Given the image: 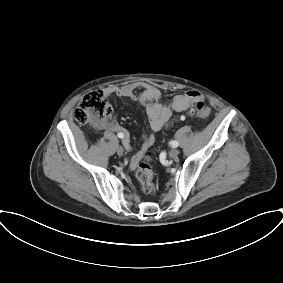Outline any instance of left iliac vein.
<instances>
[{
	"label": "left iliac vein",
	"instance_id": "1",
	"mask_svg": "<svg viewBox=\"0 0 283 283\" xmlns=\"http://www.w3.org/2000/svg\"><path fill=\"white\" fill-rule=\"evenodd\" d=\"M179 155V150L177 148H173L170 152H169V157L170 158H176Z\"/></svg>",
	"mask_w": 283,
	"mask_h": 283
}]
</instances>
